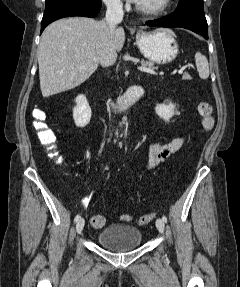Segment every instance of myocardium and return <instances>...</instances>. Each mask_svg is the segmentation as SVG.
Listing matches in <instances>:
<instances>
[{
	"instance_id": "1",
	"label": "myocardium",
	"mask_w": 240,
	"mask_h": 287,
	"mask_svg": "<svg viewBox=\"0 0 240 287\" xmlns=\"http://www.w3.org/2000/svg\"><path fill=\"white\" fill-rule=\"evenodd\" d=\"M171 0H161L160 3L155 7H146L141 5L139 2L135 4L136 10L140 13L148 16H158L163 14L169 7Z\"/></svg>"
}]
</instances>
